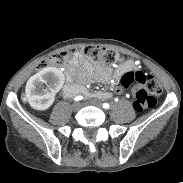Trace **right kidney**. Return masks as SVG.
<instances>
[{
    "label": "right kidney",
    "instance_id": "1",
    "mask_svg": "<svg viewBox=\"0 0 183 183\" xmlns=\"http://www.w3.org/2000/svg\"><path fill=\"white\" fill-rule=\"evenodd\" d=\"M64 74L55 67H46L33 75L26 84V97L30 106L39 111L48 109L54 102L55 90L62 87ZM47 85V88L44 87Z\"/></svg>",
    "mask_w": 183,
    "mask_h": 183
}]
</instances>
